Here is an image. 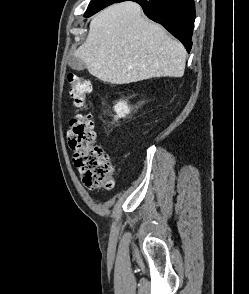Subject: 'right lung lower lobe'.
<instances>
[{
    "label": "right lung lower lobe",
    "instance_id": "98d812e1",
    "mask_svg": "<svg viewBox=\"0 0 249 294\" xmlns=\"http://www.w3.org/2000/svg\"><path fill=\"white\" fill-rule=\"evenodd\" d=\"M127 0H117L122 2ZM139 3L144 13L153 21L163 25L179 39L187 51L192 47V33L195 20L193 0H131Z\"/></svg>",
    "mask_w": 249,
    "mask_h": 294
}]
</instances>
